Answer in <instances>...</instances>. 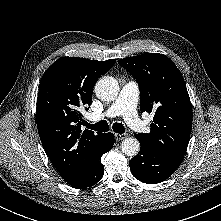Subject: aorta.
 I'll return each instance as SVG.
<instances>
[{
    "label": "aorta",
    "mask_w": 221,
    "mask_h": 221,
    "mask_svg": "<svg viewBox=\"0 0 221 221\" xmlns=\"http://www.w3.org/2000/svg\"><path fill=\"white\" fill-rule=\"evenodd\" d=\"M96 96L102 101H113L119 93V85L115 78L104 76L95 85ZM122 152L129 157H134L140 150V143L136 138H126L121 144Z\"/></svg>",
    "instance_id": "obj_1"
}]
</instances>
